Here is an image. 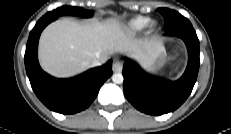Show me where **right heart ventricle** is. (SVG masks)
I'll list each match as a JSON object with an SVG mask.
<instances>
[{
  "instance_id": "e07e8e85",
  "label": "right heart ventricle",
  "mask_w": 231,
  "mask_h": 134,
  "mask_svg": "<svg viewBox=\"0 0 231 134\" xmlns=\"http://www.w3.org/2000/svg\"><path fill=\"white\" fill-rule=\"evenodd\" d=\"M149 21L150 19L144 16L133 18L127 23L126 29L131 33L138 32L146 27Z\"/></svg>"
}]
</instances>
